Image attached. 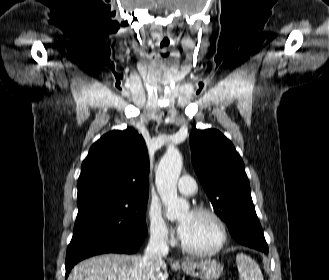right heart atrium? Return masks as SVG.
Segmentation results:
<instances>
[{
    "label": "right heart atrium",
    "mask_w": 329,
    "mask_h": 280,
    "mask_svg": "<svg viewBox=\"0 0 329 280\" xmlns=\"http://www.w3.org/2000/svg\"><path fill=\"white\" fill-rule=\"evenodd\" d=\"M147 221L150 238L153 242L167 245L172 241V230L157 206H149L147 211Z\"/></svg>",
    "instance_id": "d8ad5b80"
}]
</instances>
